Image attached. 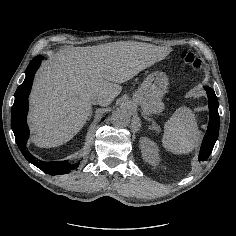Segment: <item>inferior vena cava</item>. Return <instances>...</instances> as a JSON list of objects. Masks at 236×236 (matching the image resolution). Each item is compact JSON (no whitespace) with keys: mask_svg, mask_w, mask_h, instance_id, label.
I'll return each mask as SVG.
<instances>
[{"mask_svg":"<svg viewBox=\"0 0 236 236\" xmlns=\"http://www.w3.org/2000/svg\"><path fill=\"white\" fill-rule=\"evenodd\" d=\"M109 101V98H106V97H101L99 99H95L93 102L96 103V104H106L107 102Z\"/></svg>","mask_w":236,"mask_h":236,"instance_id":"obj_1","label":"inferior vena cava"}]
</instances>
